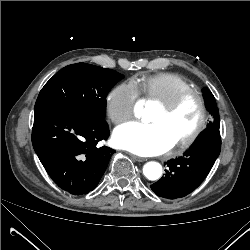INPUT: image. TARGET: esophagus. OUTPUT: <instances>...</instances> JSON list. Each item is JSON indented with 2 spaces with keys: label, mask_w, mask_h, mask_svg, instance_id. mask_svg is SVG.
<instances>
[{
  "label": "esophagus",
  "mask_w": 250,
  "mask_h": 250,
  "mask_svg": "<svg viewBox=\"0 0 250 250\" xmlns=\"http://www.w3.org/2000/svg\"><path fill=\"white\" fill-rule=\"evenodd\" d=\"M131 158L137 162H144L146 161L145 158H142V157H139V156H136V155H131Z\"/></svg>",
  "instance_id": "esophagus-1"
}]
</instances>
